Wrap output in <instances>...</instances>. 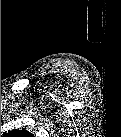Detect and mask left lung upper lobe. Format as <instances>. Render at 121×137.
<instances>
[{
    "instance_id": "1",
    "label": "left lung upper lobe",
    "mask_w": 121,
    "mask_h": 137,
    "mask_svg": "<svg viewBox=\"0 0 121 137\" xmlns=\"http://www.w3.org/2000/svg\"><path fill=\"white\" fill-rule=\"evenodd\" d=\"M11 134L13 133V135H11L12 137H15L14 135H17L16 137H19V136H24L25 137V133L32 136L28 131H20V130H17V131H13V132H10Z\"/></svg>"
}]
</instances>
